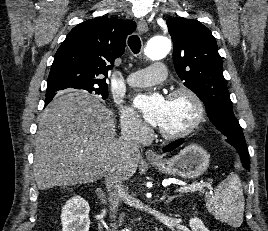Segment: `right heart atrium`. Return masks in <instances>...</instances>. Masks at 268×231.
<instances>
[{
  "label": "right heart atrium",
  "instance_id": "obj_1",
  "mask_svg": "<svg viewBox=\"0 0 268 231\" xmlns=\"http://www.w3.org/2000/svg\"><path fill=\"white\" fill-rule=\"evenodd\" d=\"M120 121L122 130L129 137L141 138L142 134L147 130L143 121L130 108L124 107L121 109Z\"/></svg>",
  "mask_w": 268,
  "mask_h": 231
}]
</instances>
